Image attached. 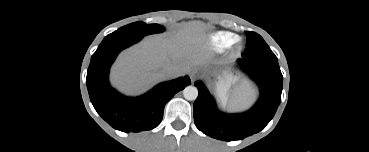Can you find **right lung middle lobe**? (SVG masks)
<instances>
[{
    "label": "right lung middle lobe",
    "mask_w": 369,
    "mask_h": 152,
    "mask_svg": "<svg viewBox=\"0 0 369 152\" xmlns=\"http://www.w3.org/2000/svg\"><path fill=\"white\" fill-rule=\"evenodd\" d=\"M163 31L164 27L159 24H146L144 22H135L119 28L112 34H130L133 36L144 37L149 34L160 33Z\"/></svg>",
    "instance_id": "1"
}]
</instances>
